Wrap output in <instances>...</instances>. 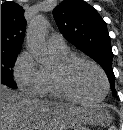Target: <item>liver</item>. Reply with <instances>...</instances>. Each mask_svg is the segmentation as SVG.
Masks as SVG:
<instances>
[{"label": "liver", "instance_id": "obj_1", "mask_svg": "<svg viewBox=\"0 0 123 130\" xmlns=\"http://www.w3.org/2000/svg\"><path fill=\"white\" fill-rule=\"evenodd\" d=\"M100 122L98 108L29 98L1 84V130H67Z\"/></svg>", "mask_w": 123, "mask_h": 130}]
</instances>
